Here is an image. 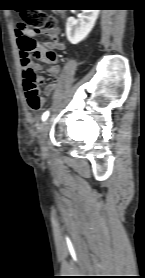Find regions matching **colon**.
Wrapping results in <instances>:
<instances>
[{
	"label": "colon",
	"mask_w": 145,
	"mask_h": 278,
	"mask_svg": "<svg viewBox=\"0 0 145 278\" xmlns=\"http://www.w3.org/2000/svg\"><path fill=\"white\" fill-rule=\"evenodd\" d=\"M54 28V17L42 11H36V9H28L21 14V20L16 26V34H22L28 29L32 31H52ZM19 50L20 54L25 53L29 59L43 55L49 62L56 61L55 51L53 49L42 48L35 38L23 37L20 41ZM39 83V77L28 66L23 71V86L28 107L32 111H39L43 107V99L39 92Z\"/></svg>",
	"instance_id": "1"
}]
</instances>
